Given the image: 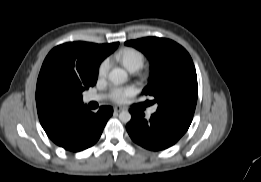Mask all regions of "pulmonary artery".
<instances>
[{
	"mask_svg": "<svg viewBox=\"0 0 261 182\" xmlns=\"http://www.w3.org/2000/svg\"><path fill=\"white\" fill-rule=\"evenodd\" d=\"M101 99V97L99 95H87L85 97V101L86 102H92V101H99ZM156 111V107H152L149 111H148V114L151 115L153 113H155Z\"/></svg>",
	"mask_w": 261,
	"mask_h": 182,
	"instance_id": "e3ab8cb5",
	"label": "pulmonary artery"
}]
</instances>
